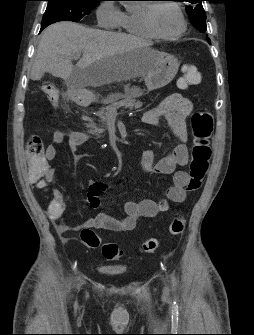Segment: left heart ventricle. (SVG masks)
Segmentation results:
<instances>
[{
	"mask_svg": "<svg viewBox=\"0 0 254 335\" xmlns=\"http://www.w3.org/2000/svg\"><path fill=\"white\" fill-rule=\"evenodd\" d=\"M154 22L157 30L162 34L171 35L176 33L181 22L177 12L170 6H159L154 14Z\"/></svg>",
	"mask_w": 254,
	"mask_h": 335,
	"instance_id": "1",
	"label": "left heart ventricle"
}]
</instances>
